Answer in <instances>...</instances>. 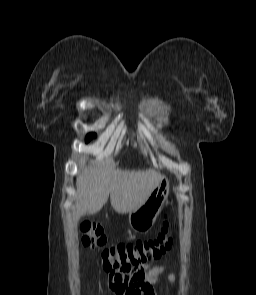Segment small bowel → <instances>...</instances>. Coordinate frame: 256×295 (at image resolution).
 I'll return each instance as SVG.
<instances>
[{"label": "small bowel", "mask_w": 256, "mask_h": 295, "mask_svg": "<svg viewBox=\"0 0 256 295\" xmlns=\"http://www.w3.org/2000/svg\"><path fill=\"white\" fill-rule=\"evenodd\" d=\"M164 271L165 266L149 263L138 269L108 272L105 282L114 295H155L154 286L160 283ZM168 280L173 283L175 275L169 273Z\"/></svg>", "instance_id": "c3829d8e"}]
</instances>
